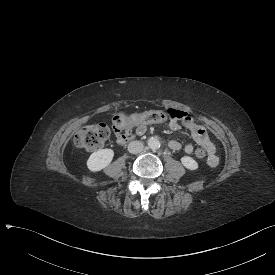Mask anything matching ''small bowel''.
<instances>
[{
	"label": "small bowel",
	"mask_w": 275,
	"mask_h": 275,
	"mask_svg": "<svg viewBox=\"0 0 275 275\" xmlns=\"http://www.w3.org/2000/svg\"><path fill=\"white\" fill-rule=\"evenodd\" d=\"M168 114L170 117H173L169 123V127L172 131H177L180 129V123L182 122L186 128L191 132V135L193 139L196 141V143L201 146L205 151L208 153V165L210 167H216L219 163V159L215 154V145L214 143L210 140L206 129L197 124L193 120V112L192 111H181V110H176L174 108H169L168 109ZM132 128H137L138 133H143L144 132V123H135L129 125L126 129L120 130L119 132L121 133H127L129 130ZM168 146L172 150H180L182 148L181 142L177 140H171L168 143ZM193 145L187 144L184 146V151L187 154H191L193 152Z\"/></svg>",
	"instance_id": "small-bowel-1"
}]
</instances>
